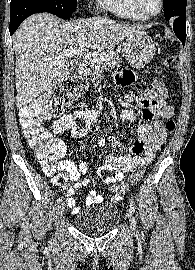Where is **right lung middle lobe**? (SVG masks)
Instances as JSON below:
<instances>
[{"label": "right lung middle lobe", "instance_id": "1", "mask_svg": "<svg viewBox=\"0 0 195 270\" xmlns=\"http://www.w3.org/2000/svg\"><path fill=\"white\" fill-rule=\"evenodd\" d=\"M13 1V0H11ZM44 3L50 10V13L62 19H68L76 8L77 0H30Z\"/></svg>", "mask_w": 195, "mask_h": 270}]
</instances>
